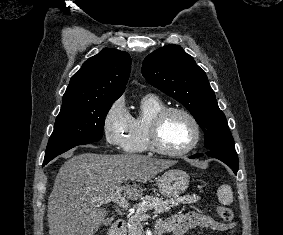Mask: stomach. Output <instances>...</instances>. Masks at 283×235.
<instances>
[{
	"mask_svg": "<svg viewBox=\"0 0 283 235\" xmlns=\"http://www.w3.org/2000/svg\"><path fill=\"white\" fill-rule=\"evenodd\" d=\"M189 180V175L182 170H167L158 179L159 192L166 197L178 196L186 190Z\"/></svg>",
	"mask_w": 283,
	"mask_h": 235,
	"instance_id": "0dacf381",
	"label": "stomach"
}]
</instances>
